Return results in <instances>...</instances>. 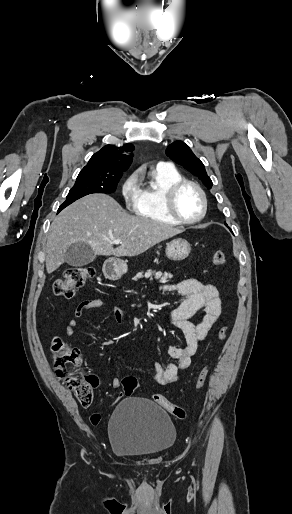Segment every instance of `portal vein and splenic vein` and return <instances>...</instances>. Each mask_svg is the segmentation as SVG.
Masks as SVG:
<instances>
[{"label":"portal vein and splenic vein","mask_w":292,"mask_h":514,"mask_svg":"<svg viewBox=\"0 0 292 514\" xmlns=\"http://www.w3.org/2000/svg\"><path fill=\"white\" fill-rule=\"evenodd\" d=\"M112 244H122L121 240H113Z\"/></svg>","instance_id":"1"}]
</instances>
